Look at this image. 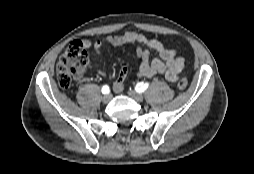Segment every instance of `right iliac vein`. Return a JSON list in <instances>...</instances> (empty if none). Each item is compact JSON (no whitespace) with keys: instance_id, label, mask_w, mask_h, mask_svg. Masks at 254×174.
I'll list each match as a JSON object with an SVG mask.
<instances>
[{"instance_id":"63e3f726","label":"right iliac vein","mask_w":254,"mask_h":174,"mask_svg":"<svg viewBox=\"0 0 254 174\" xmlns=\"http://www.w3.org/2000/svg\"><path fill=\"white\" fill-rule=\"evenodd\" d=\"M111 98H112V95H111V94H106V95H104V96L102 97V101H103L104 103H108V102L111 100Z\"/></svg>"}]
</instances>
